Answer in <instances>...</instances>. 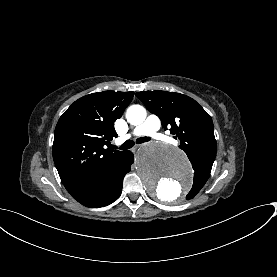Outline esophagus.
<instances>
[{"instance_id": "34e87169", "label": "esophagus", "mask_w": 277, "mask_h": 277, "mask_svg": "<svg viewBox=\"0 0 277 277\" xmlns=\"http://www.w3.org/2000/svg\"><path fill=\"white\" fill-rule=\"evenodd\" d=\"M141 146H142V144H138V145L135 146V148L137 149V148H139Z\"/></svg>"}]
</instances>
